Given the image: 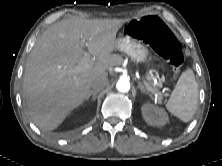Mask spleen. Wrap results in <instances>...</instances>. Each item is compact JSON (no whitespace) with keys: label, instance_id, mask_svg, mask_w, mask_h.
<instances>
[{"label":"spleen","instance_id":"obj_1","mask_svg":"<svg viewBox=\"0 0 222 166\" xmlns=\"http://www.w3.org/2000/svg\"><path fill=\"white\" fill-rule=\"evenodd\" d=\"M198 104V85L191 69L185 70L170 95L167 110L182 122H189Z\"/></svg>","mask_w":222,"mask_h":166}]
</instances>
